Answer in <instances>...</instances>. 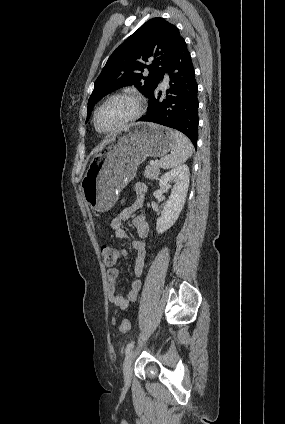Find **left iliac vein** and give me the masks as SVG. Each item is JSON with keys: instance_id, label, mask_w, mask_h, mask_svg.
<instances>
[{"instance_id": "1", "label": "left iliac vein", "mask_w": 285, "mask_h": 424, "mask_svg": "<svg viewBox=\"0 0 285 424\" xmlns=\"http://www.w3.org/2000/svg\"><path fill=\"white\" fill-rule=\"evenodd\" d=\"M133 355H134V351L131 350L127 354L125 361H124V367H123L124 380L127 384L130 383V381H131V364H132Z\"/></svg>"}]
</instances>
